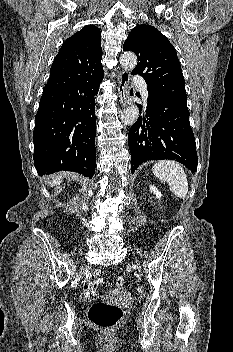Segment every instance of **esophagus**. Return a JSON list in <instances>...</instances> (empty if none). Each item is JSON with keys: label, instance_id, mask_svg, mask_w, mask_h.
I'll use <instances>...</instances> for the list:
<instances>
[{"label": "esophagus", "instance_id": "obj_1", "mask_svg": "<svg viewBox=\"0 0 233 352\" xmlns=\"http://www.w3.org/2000/svg\"><path fill=\"white\" fill-rule=\"evenodd\" d=\"M129 82H130V74L127 71L122 70L119 74V79H118V91H119L120 103L124 107L130 104Z\"/></svg>", "mask_w": 233, "mask_h": 352}]
</instances>
